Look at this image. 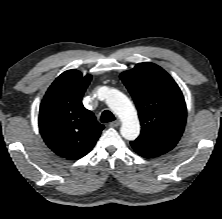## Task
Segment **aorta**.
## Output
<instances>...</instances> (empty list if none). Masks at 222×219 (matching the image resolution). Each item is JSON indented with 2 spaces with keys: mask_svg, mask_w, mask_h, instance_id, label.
<instances>
[{
  "mask_svg": "<svg viewBox=\"0 0 222 219\" xmlns=\"http://www.w3.org/2000/svg\"><path fill=\"white\" fill-rule=\"evenodd\" d=\"M100 91L105 92L108 107L118 115L122 122L121 135L127 140H135L140 134V123L132 102L117 89L103 87Z\"/></svg>",
  "mask_w": 222,
  "mask_h": 219,
  "instance_id": "aorta-1",
  "label": "aorta"
}]
</instances>
